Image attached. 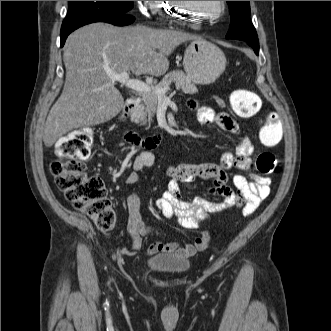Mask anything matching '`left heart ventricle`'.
I'll return each instance as SVG.
<instances>
[{
    "mask_svg": "<svg viewBox=\"0 0 331 331\" xmlns=\"http://www.w3.org/2000/svg\"><path fill=\"white\" fill-rule=\"evenodd\" d=\"M190 8V16L204 17L214 15L219 10V1H187Z\"/></svg>",
    "mask_w": 331,
    "mask_h": 331,
    "instance_id": "left-heart-ventricle-1",
    "label": "left heart ventricle"
}]
</instances>
